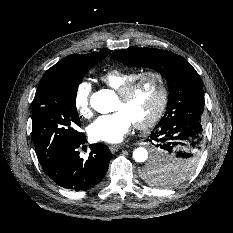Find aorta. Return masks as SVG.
Masks as SVG:
<instances>
[{"instance_id": "obj_1", "label": "aorta", "mask_w": 233, "mask_h": 233, "mask_svg": "<svg viewBox=\"0 0 233 233\" xmlns=\"http://www.w3.org/2000/svg\"><path fill=\"white\" fill-rule=\"evenodd\" d=\"M115 95L110 90H99L92 94L90 104L99 113L107 114L113 110ZM133 158L136 162H145L148 159V152L143 147H138L133 151Z\"/></svg>"}]
</instances>
